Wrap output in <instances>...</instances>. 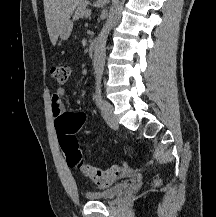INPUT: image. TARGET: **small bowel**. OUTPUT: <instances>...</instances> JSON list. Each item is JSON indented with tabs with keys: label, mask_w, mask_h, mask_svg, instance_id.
<instances>
[{
	"label": "small bowel",
	"mask_w": 216,
	"mask_h": 217,
	"mask_svg": "<svg viewBox=\"0 0 216 217\" xmlns=\"http://www.w3.org/2000/svg\"><path fill=\"white\" fill-rule=\"evenodd\" d=\"M67 90L64 87H59L51 98V113L54 117L55 123L60 117L65 114V108L63 103V97L66 95ZM130 169L126 168L125 172H129Z\"/></svg>",
	"instance_id": "obj_1"
}]
</instances>
